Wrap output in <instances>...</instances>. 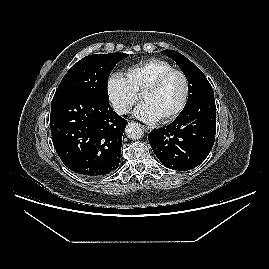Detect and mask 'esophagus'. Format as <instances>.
<instances>
[{"mask_svg":"<svg viewBox=\"0 0 269 269\" xmlns=\"http://www.w3.org/2000/svg\"><path fill=\"white\" fill-rule=\"evenodd\" d=\"M143 128H144L145 132H150L152 130L150 127L144 126V125H143Z\"/></svg>","mask_w":269,"mask_h":269,"instance_id":"esophagus-1","label":"esophagus"}]
</instances>
